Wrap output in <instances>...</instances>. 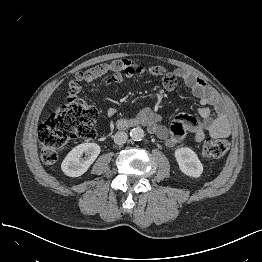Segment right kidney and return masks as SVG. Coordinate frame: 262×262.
I'll return each instance as SVG.
<instances>
[{
	"instance_id": "1",
	"label": "right kidney",
	"mask_w": 262,
	"mask_h": 262,
	"mask_svg": "<svg viewBox=\"0 0 262 262\" xmlns=\"http://www.w3.org/2000/svg\"><path fill=\"white\" fill-rule=\"evenodd\" d=\"M100 151V146L96 143L80 144L67 154L61 164V169L67 176L79 177L89 169ZM83 154H85L84 159Z\"/></svg>"
}]
</instances>
